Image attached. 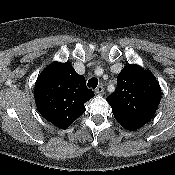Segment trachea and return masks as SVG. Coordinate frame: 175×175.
Masks as SVG:
<instances>
[{"mask_svg":"<svg viewBox=\"0 0 175 175\" xmlns=\"http://www.w3.org/2000/svg\"><path fill=\"white\" fill-rule=\"evenodd\" d=\"M87 85H88L89 88L95 89L97 87V85H98V79L95 78V77L89 79Z\"/></svg>","mask_w":175,"mask_h":175,"instance_id":"trachea-1","label":"trachea"}]
</instances>
